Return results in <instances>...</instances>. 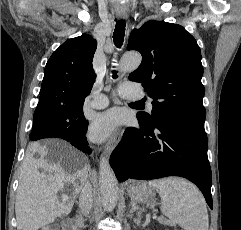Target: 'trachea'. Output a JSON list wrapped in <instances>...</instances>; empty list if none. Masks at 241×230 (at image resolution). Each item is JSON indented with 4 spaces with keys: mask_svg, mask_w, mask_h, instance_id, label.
<instances>
[{
    "mask_svg": "<svg viewBox=\"0 0 241 230\" xmlns=\"http://www.w3.org/2000/svg\"><path fill=\"white\" fill-rule=\"evenodd\" d=\"M125 21L124 20H118L116 21V26H115V30L113 33V40H114V44L117 47H121L124 41V36H125ZM114 75L113 78H117L116 71H113Z\"/></svg>",
    "mask_w": 241,
    "mask_h": 230,
    "instance_id": "3493384b",
    "label": "trachea"
}]
</instances>
